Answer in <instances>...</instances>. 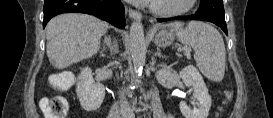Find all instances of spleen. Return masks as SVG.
<instances>
[{"mask_svg":"<svg viewBox=\"0 0 273 118\" xmlns=\"http://www.w3.org/2000/svg\"><path fill=\"white\" fill-rule=\"evenodd\" d=\"M176 33L177 39L194 50V59L200 71L210 80L220 82L225 74L226 50L221 34L211 25L191 21L165 25Z\"/></svg>","mask_w":273,"mask_h":118,"instance_id":"1","label":"spleen"}]
</instances>
